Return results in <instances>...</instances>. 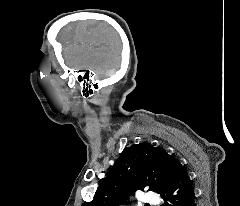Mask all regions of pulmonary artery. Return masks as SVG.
<instances>
[{
    "label": "pulmonary artery",
    "mask_w": 240,
    "mask_h": 206,
    "mask_svg": "<svg viewBox=\"0 0 240 206\" xmlns=\"http://www.w3.org/2000/svg\"><path fill=\"white\" fill-rule=\"evenodd\" d=\"M142 201L147 204H157L158 203V196L154 193H145L142 196Z\"/></svg>",
    "instance_id": "1"
}]
</instances>
